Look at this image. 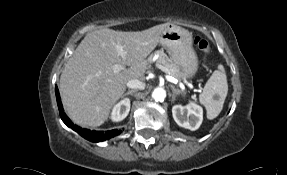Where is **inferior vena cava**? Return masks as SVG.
Listing matches in <instances>:
<instances>
[{
  "instance_id": "1",
  "label": "inferior vena cava",
  "mask_w": 287,
  "mask_h": 175,
  "mask_svg": "<svg viewBox=\"0 0 287 175\" xmlns=\"http://www.w3.org/2000/svg\"><path fill=\"white\" fill-rule=\"evenodd\" d=\"M127 87L143 90L145 88V83L138 79H132L127 82Z\"/></svg>"
}]
</instances>
